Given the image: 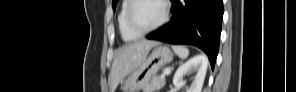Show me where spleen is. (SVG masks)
Instances as JSON below:
<instances>
[{
	"mask_svg": "<svg viewBox=\"0 0 296 92\" xmlns=\"http://www.w3.org/2000/svg\"><path fill=\"white\" fill-rule=\"evenodd\" d=\"M172 49L181 59H186L189 55V50L187 49V47L180 46V45H173Z\"/></svg>",
	"mask_w": 296,
	"mask_h": 92,
	"instance_id": "1",
	"label": "spleen"
}]
</instances>
